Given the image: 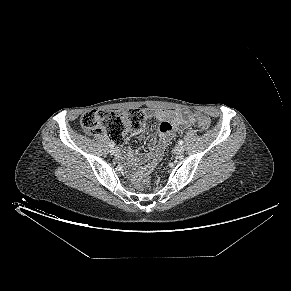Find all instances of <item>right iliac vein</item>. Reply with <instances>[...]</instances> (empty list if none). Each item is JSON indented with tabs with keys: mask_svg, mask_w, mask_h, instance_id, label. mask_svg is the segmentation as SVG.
I'll return each instance as SVG.
<instances>
[{
	"mask_svg": "<svg viewBox=\"0 0 291 291\" xmlns=\"http://www.w3.org/2000/svg\"><path fill=\"white\" fill-rule=\"evenodd\" d=\"M110 153H111L112 155H117V154L119 153V151H118V149H116V148H112L111 151H110Z\"/></svg>",
	"mask_w": 291,
	"mask_h": 291,
	"instance_id": "1",
	"label": "right iliac vein"
}]
</instances>
